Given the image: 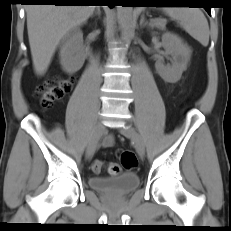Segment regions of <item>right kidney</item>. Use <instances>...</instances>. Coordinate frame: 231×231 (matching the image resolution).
<instances>
[{
  "label": "right kidney",
  "instance_id": "right-kidney-1",
  "mask_svg": "<svg viewBox=\"0 0 231 231\" xmlns=\"http://www.w3.org/2000/svg\"><path fill=\"white\" fill-rule=\"evenodd\" d=\"M60 63L67 73L77 72L84 64L83 34L80 30L71 33L60 49Z\"/></svg>",
  "mask_w": 231,
  "mask_h": 231
}]
</instances>
